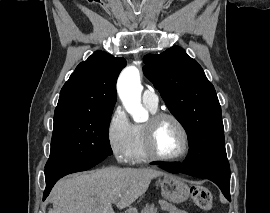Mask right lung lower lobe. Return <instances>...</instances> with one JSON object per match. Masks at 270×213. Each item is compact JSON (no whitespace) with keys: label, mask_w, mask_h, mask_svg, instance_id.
Segmentation results:
<instances>
[{"label":"right lung lower lobe","mask_w":270,"mask_h":213,"mask_svg":"<svg viewBox=\"0 0 270 213\" xmlns=\"http://www.w3.org/2000/svg\"><path fill=\"white\" fill-rule=\"evenodd\" d=\"M104 159L105 158H98L85 163L69 165L61 169L45 170L46 189L44 191L43 200L49 195L52 187L60 178L71 173L88 170Z\"/></svg>","instance_id":"1"}]
</instances>
